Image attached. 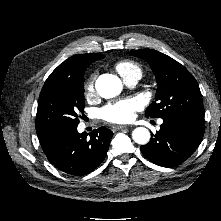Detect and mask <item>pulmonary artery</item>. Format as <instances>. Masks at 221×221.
Masks as SVG:
<instances>
[{
	"label": "pulmonary artery",
	"instance_id": "e3ab8cb5",
	"mask_svg": "<svg viewBox=\"0 0 221 221\" xmlns=\"http://www.w3.org/2000/svg\"><path fill=\"white\" fill-rule=\"evenodd\" d=\"M138 80H139V77L133 76V77H130V78H128V79H125L124 81H125L128 85L133 86V85H135V84L138 82ZM160 123H161V121H160Z\"/></svg>",
	"mask_w": 221,
	"mask_h": 221
}]
</instances>
